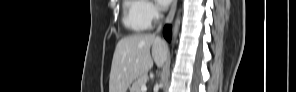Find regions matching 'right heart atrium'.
Masks as SVG:
<instances>
[{
    "label": "right heart atrium",
    "mask_w": 296,
    "mask_h": 92,
    "mask_svg": "<svg viewBox=\"0 0 296 92\" xmlns=\"http://www.w3.org/2000/svg\"><path fill=\"white\" fill-rule=\"evenodd\" d=\"M141 2V17L149 25L160 17L157 6L152 1Z\"/></svg>",
    "instance_id": "right-heart-atrium-1"
}]
</instances>
